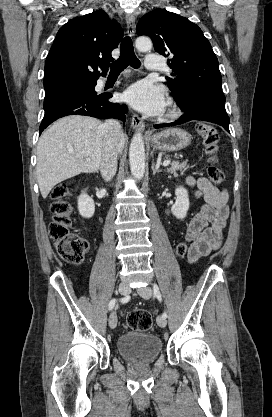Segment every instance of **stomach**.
<instances>
[{
	"label": "stomach",
	"mask_w": 272,
	"mask_h": 417,
	"mask_svg": "<svg viewBox=\"0 0 272 417\" xmlns=\"http://www.w3.org/2000/svg\"><path fill=\"white\" fill-rule=\"evenodd\" d=\"M154 149L174 152L186 148L191 142L190 134L181 128H168L150 138Z\"/></svg>",
	"instance_id": "1"
}]
</instances>
